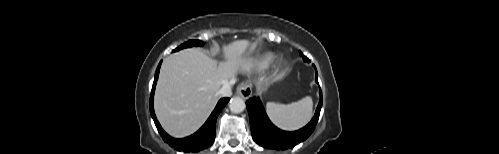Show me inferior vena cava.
Masks as SVG:
<instances>
[{
  "label": "inferior vena cava",
  "mask_w": 499,
  "mask_h": 154,
  "mask_svg": "<svg viewBox=\"0 0 499 154\" xmlns=\"http://www.w3.org/2000/svg\"><path fill=\"white\" fill-rule=\"evenodd\" d=\"M235 83V80L226 82L222 88L218 91V95L221 97H230L232 95L231 86Z\"/></svg>",
  "instance_id": "inferior-vena-cava-1"
}]
</instances>
